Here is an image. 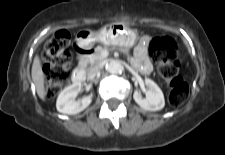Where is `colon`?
I'll use <instances>...</instances> for the list:
<instances>
[{
	"instance_id": "1",
	"label": "colon",
	"mask_w": 225,
	"mask_h": 155,
	"mask_svg": "<svg viewBox=\"0 0 225 155\" xmlns=\"http://www.w3.org/2000/svg\"><path fill=\"white\" fill-rule=\"evenodd\" d=\"M69 45L70 34L66 30L57 31L45 45V94L49 99L55 97L69 80L72 60ZM148 50L158 65L159 75L170 89L169 104L179 107L188 97L189 86L180 74V52L176 42L170 37L154 38L150 41Z\"/></svg>"
}]
</instances>
